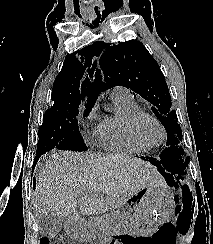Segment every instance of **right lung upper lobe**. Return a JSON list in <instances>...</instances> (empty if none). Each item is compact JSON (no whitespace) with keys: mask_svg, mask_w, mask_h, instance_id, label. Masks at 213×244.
<instances>
[{"mask_svg":"<svg viewBox=\"0 0 213 244\" xmlns=\"http://www.w3.org/2000/svg\"><path fill=\"white\" fill-rule=\"evenodd\" d=\"M96 62L67 55L52 89L53 106L85 105L93 107L99 91L91 82Z\"/></svg>","mask_w":213,"mask_h":244,"instance_id":"right-lung-upper-lobe-1","label":"right lung upper lobe"}]
</instances>
